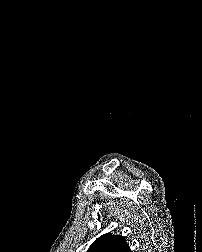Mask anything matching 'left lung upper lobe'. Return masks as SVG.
Wrapping results in <instances>:
<instances>
[{
	"instance_id": "1",
	"label": "left lung upper lobe",
	"mask_w": 202,
	"mask_h": 252,
	"mask_svg": "<svg viewBox=\"0 0 202 252\" xmlns=\"http://www.w3.org/2000/svg\"><path fill=\"white\" fill-rule=\"evenodd\" d=\"M87 252H132L122 236L104 234L91 244Z\"/></svg>"
}]
</instances>
